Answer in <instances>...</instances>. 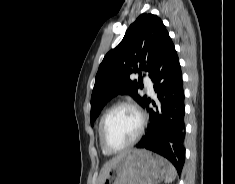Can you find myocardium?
Instances as JSON below:
<instances>
[{
    "mask_svg": "<svg viewBox=\"0 0 235 184\" xmlns=\"http://www.w3.org/2000/svg\"><path fill=\"white\" fill-rule=\"evenodd\" d=\"M122 107H128V108L132 109L133 111H135V113L138 115V118H139V128H138V131H137L135 137L130 142H128L127 144H125L121 147L113 148V147L109 146L106 141V132H107V128H108L109 119H110L112 113L115 110L122 108ZM146 123H147V118H146L145 113L134 103L128 102V101H122V102H118V103L114 104L113 106H111L107 110V112L105 113L103 120H102L100 134H99V141H100L101 147L103 148V150L105 152H107L109 154L121 153L122 151L135 145L140 140V138L142 137V135L145 131Z\"/></svg>",
    "mask_w": 235,
    "mask_h": 184,
    "instance_id": "obj_1",
    "label": "myocardium"
}]
</instances>
